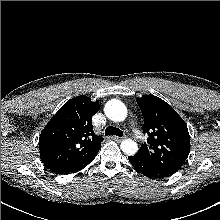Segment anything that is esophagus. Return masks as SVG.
<instances>
[{
  "mask_svg": "<svg viewBox=\"0 0 220 220\" xmlns=\"http://www.w3.org/2000/svg\"><path fill=\"white\" fill-rule=\"evenodd\" d=\"M111 138H112L114 141H116V142H121V141L124 140L125 137L120 138V137L113 136V137H111Z\"/></svg>",
  "mask_w": 220,
  "mask_h": 220,
  "instance_id": "obj_1",
  "label": "esophagus"
}]
</instances>
